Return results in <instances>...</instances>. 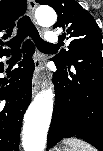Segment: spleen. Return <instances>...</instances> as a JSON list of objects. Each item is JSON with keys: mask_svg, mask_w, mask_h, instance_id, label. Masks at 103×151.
<instances>
[{"mask_svg": "<svg viewBox=\"0 0 103 151\" xmlns=\"http://www.w3.org/2000/svg\"><path fill=\"white\" fill-rule=\"evenodd\" d=\"M63 143L68 144L72 151H95L93 147L78 138H68Z\"/></svg>", "mask_w": 103, "mask_h": 151, "instance_id": "obj_1", "label": "spleen"}]
</instances>
